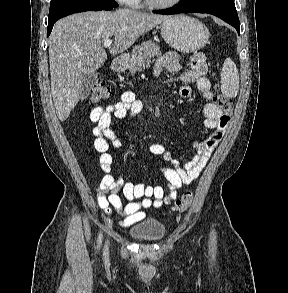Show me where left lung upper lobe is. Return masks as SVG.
<instances>
[{
    "mask_svg": "<svg viewBox=\"0 0 288 293\" xmlns=\"http://www.w3.org/2000/svg\"><path fill=\"white\" fill-rule=\"evenodd\" d=\"M180 2L197 5H217L229 10H236L234 0H181Z\"/></svg>",
    "mask_w": 288,
    "mask_h": 293,
    "instance_id": "1",
    "label": "left lung upper lobe"
}]
</instances>
